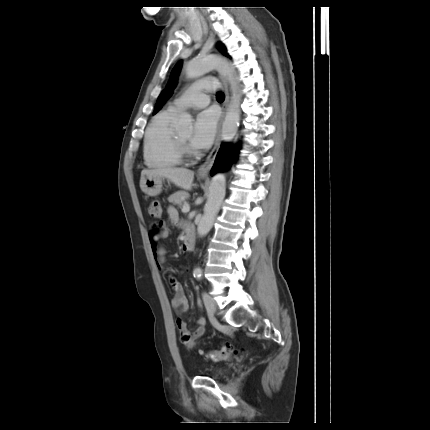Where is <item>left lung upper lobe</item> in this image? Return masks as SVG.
Here are the masks:
<instances>
[{
	"mask_svg": "<svg viewBox=\"0 0 430 430\" xmlns=\"http://www.w3.org/2000/svg\"><path fill=\"white\" fill-rule=\"evenodd\" d=\"M218 48H219V50H220V52L222 53V54H224V55H226V56H228V54H227V52H226V48H225V46L222 44V43H219L218 44ZM181 65H182V62L180 61V62H178L176 65H175V67L173 68V70H172V72H171V75H170V79H169V81H168V85H167V87H168V91H164V92H162L161 94H160V96L158 97V100H157V103H156V107H155V110H154V114L155 113H157L160 109H161V106L169 99V97L171 96V94H172V90H173V88L175 87V85H176V80H177V77H178V74H179V72H180V69H181Z\"/></svg>",
	"mask_w": 430,
	"mask_h": 430,
	"instance_id": "left-lung-upper-lobe-1",
	"label": "left lung upper lobe"
}]
</instances>
